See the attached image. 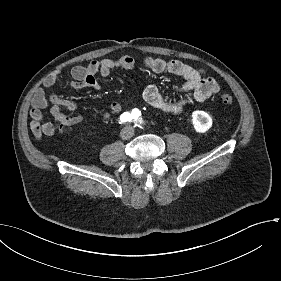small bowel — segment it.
<instances>
[{
    "label": "small bowel",
    "instance_id": "obj_1",
    "mask_svg": "<svg viewBox=\"0 0 281 281\" xmlns=\"http://www.w3.org/2000/svg\"><path fill=\"white\" fill-rule=\"evenodd\" d=\"M144 66L158 74H171L182 76L185 83L178 90V97L169 99L155 85H148L142 93L144 101L152 108L167 116H179L185 110L197 103L203 102L217 93L220 89L219 83L208 76L204 69L194 67L179 60H163L155 57H146ZM136 67L133 57L125 55L118 58H106L99 61H91L86 66H75L71 69L73 81L71 87L79 90L90 88L99 90L100 83L96 75L107 76L114 69L132 71ZM59 71L49 75L44 81V88L52 87L58 78ZM134 80V75H131ZM44 88H40L34 95L32 108L30 110V128L34 140H41L42 136H53L65 127L74 126L82 121V116L75 114L77 105L74 101L56 94L46 95ZM49 107L53 121H45L43 110ZM63 108L70 113H64ZM122 106L119 102H112L109 109L104 113V118L121 112ZM37 130V131H35ZM43 134V135H42Z\"/></svg>",
    "mask_w": 281,
    "mask_h": 281
}]
</instances>
